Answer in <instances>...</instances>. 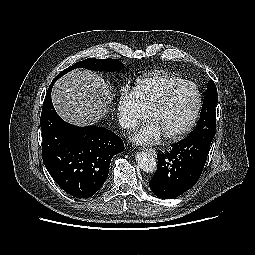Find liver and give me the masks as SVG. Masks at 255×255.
I'll list each match as a JSON object with an SVG mask.
<instances>
[{"label":"liver","instance_id":"obj_1","mask_svg":"<svg viewBox=\"0 0 255 255\" xmlns=\"http://www.w3.org/2000/svg\"><path fill=\"white\" fill-rule=\"evenodd\" d=\"M113 99L107 81L88 70H74L54 85L52 101L61 118L77 125L99 122L110 109Z\"/></svg>","mask_w":255,"mask_h":255}]
</instances>
